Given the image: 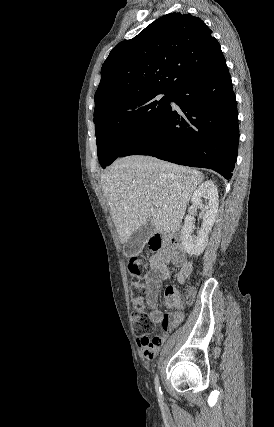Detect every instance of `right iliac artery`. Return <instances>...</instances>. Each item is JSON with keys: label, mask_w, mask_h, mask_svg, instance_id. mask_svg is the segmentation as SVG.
I'll return each mask as SVG.
<instances>
[{"label": "right iliac artery", "mask_w": 274, "mask_h": 427, "mask_svg": "<svg viewBox=\"0 0 274 427\" xmlns=\"http://www.w3.org/2000/svg\"><path fill=\"white\" fill-rule=\"evenodd\" d=\"M155 389H156V392H157V397L159 399H162L163 395H162L161 387H160V384H159V377H158L157 374L155 376Z\"/></svg>", "instance_id": "obj_1"}]
</instances>
